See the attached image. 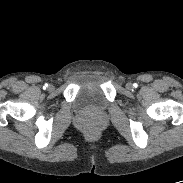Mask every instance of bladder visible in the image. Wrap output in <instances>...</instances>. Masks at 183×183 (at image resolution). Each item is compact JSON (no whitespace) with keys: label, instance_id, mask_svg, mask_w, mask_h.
Returning <instances> with one entry per match:
<instances>
[{"label":"bladder","instance_id":"bladder-1","mask_svg":"<svg viewBox=\"0 0 183 183\" xmlns=\"http://www.w3.org/2000/svg\"><path fill=\"white\" fill-rule=\"evenodd\" d=\"M74 104L78 109H103L106 105L104 78L99 73H81L76 77Z\"/></svg>","mask_w":183,"mask_h":183}]
</instances>
